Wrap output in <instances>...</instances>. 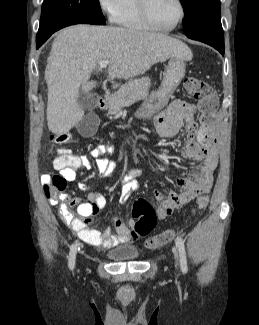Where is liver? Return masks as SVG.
Instances as JSON below:
<instances>
[{"instance_id": "obj_1", "label": "liver", "mask_w": 259, "mask_h": 325, "mask_svg": "<svg viewBox=\"0 0 259 325\" xmlns=\"http://www.w3.org/2000/svg\"><path fill=\"white\" fill-rule=\"evenodd\" d=\"M173 57L189 60L192 53L185 43L162 33L83 24L64 28L52 43L45 69L49 130L62 135L82 120L79 89L89 92L96 86L89 79L99 62L109 61L111 79L127 80Z\"/></svg>"}]
</instances>
